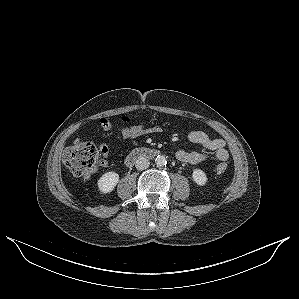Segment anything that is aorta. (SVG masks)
Wrapping results in <instances>:
<instances>
[{
	"instance_id": "1",
	"label": "aorta",
	"mask_w": 299,
	"mask_h": 299,
	"mask_svg": "<svg viewBox=\"0 0 299 299\" xmlns=\"http://www.w3.org/2000/svg\"><path fill=\"white\" fill-rule=\"evenodd\" d=\"M155 162L158 167H163L164 165L167 164V160L163 155H158L155 159Z\"/></svg>"
}]
</instances>
